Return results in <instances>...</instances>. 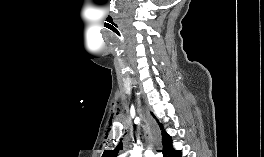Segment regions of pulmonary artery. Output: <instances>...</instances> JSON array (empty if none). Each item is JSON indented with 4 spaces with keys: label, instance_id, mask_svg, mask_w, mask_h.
<instances>
[{
    "label": "pulmonary artery",
    "instance_id": "e3ab8cb5",
    "mask_svg": "<svg viewBox=\"0 0 264 157\" xmlns=\"http://www.w3.org/2000/svg\"><path fill=\"white\" fill-rule=\"evenodd\" d=\"M146 157H151L150 155H146Z\"/></svg>",
    "mask_w": 264,
    "mask_h": 157
}]
</instances>
